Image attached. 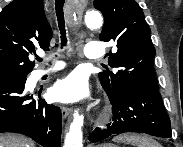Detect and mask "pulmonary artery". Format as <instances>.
<instances>
[{"instance_id":"1","label":"pulmonary artery","mask_w":183,"mask_h":147,"mask_svg":"<svg viewBox=\"0 0 183 147\" xmlns=\"http://www.w3.org/2000/svg\"><path fill=\"white\" fill-rule=\"evenodd\" d=\"M84 55L90 59H99L102 57L103 50L101 44L97 42H89L84 47ZM64 67L62 62H58L53 68L46 70V69H38L35 71V78L39 79L44 75L54 73Z\"/></svg>"}]
</instances>
